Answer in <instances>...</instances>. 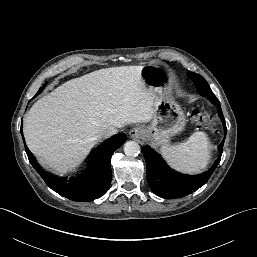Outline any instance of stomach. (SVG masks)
I'll use <instances>...</instances> for the list:
<instances>
[{"label": "stomach", "mask_w": 257, "mask_h": 257, "mask_svg": "<svg viewBox=\"0 0 257 257\" xmlns=\"http://www.w3.org/2000/svg\"><path fill=\"white\" fill-rule=\"evenodd\" d=\"M141 77L149 88L156 91L154 115L148 126H142L144 136L155 145L169 144L171 138L181 133L186 125L181 106L171 96V69L160 62L141 66Z\"/></svg>", "instance_id": "stomach-1"}]
</instances>
